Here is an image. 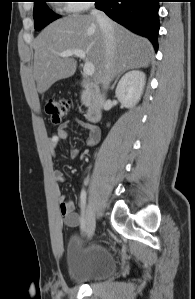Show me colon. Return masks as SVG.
Returning <instances> with one entry per match:
<instances>
[{
	"label": "colon",
	"instance_id": "1",
	"mask_svg": "<svg viewBox=\"0 0 195 299\" xmlns=\"http://www.w3.org/2000/svg\"><path fill=\"white\" fill-rule=\"evenodd\" d=\"M70 101L66 99H49L46 102V112L54 124H59L69 113Z\"/></svg>",
	"mask_w": 195,
	"mask_h": 299
}]
</instances>
